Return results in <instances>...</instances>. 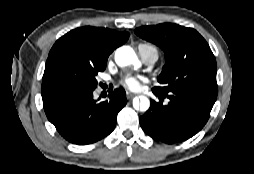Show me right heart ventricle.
I'll return each mask as SVG.
<instances>
[{
  "instance_id": "1",
  "label": "right heart ventricle",
  "mask_w": 254,
  "mask_h": 174,
  "mask_svg": "<svg viewBox=\"0 0 254 174\" xmlns=\"http://www.w3.org/2000/svg\"><path fill=\"white\" fill-rule=\"evenodd\" d=\"M139 47H146V48H153V49H156L154 46L149 45V44H140Z\"/></svg>"
}]
</instances>
